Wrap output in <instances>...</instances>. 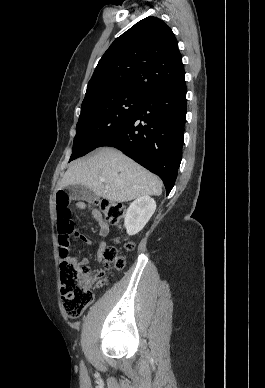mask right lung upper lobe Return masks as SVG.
Masks as SVG:
<instances>
[{"mask_svg":"<svg viewBox=\"0 0 265 388\" xmlns=\"http://www.w3.org/2000/svg\"><path fill=\"white\" fill-rule=\"evenodd\" d=\"M184 75L182 56L171 28L156 17H147L110 45L95 68L86 96L101 90L144 96Z\"/></svg>","mask_w":265,"mask_h":388,"instance_id":"obj_1","label":"right lung upper lobe"}]
</instances>
